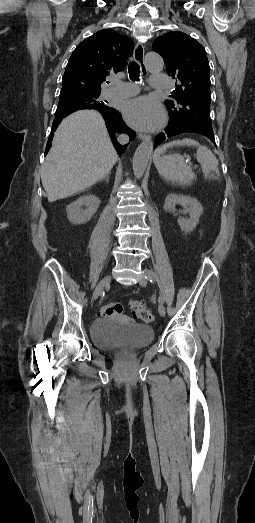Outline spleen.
I'll return each mask as SVG.
<instances>
[{"mask_svg": "<svg viewBox=\"0 0 255 523\" xmlns=\"http://www.w3.org/2000/svg\"><path fill=\"white\" fill-rule=\"evenodd\" d=\"M173 146H196V154H194L197 162H199L202 172L205 178H215L218 180V160L211 150H208L206 146H201L199 142L191 140V138H184V140H175V142H169L160 146L154 152L153 162L162 178L169 180V182H175L180 186H190L195 178L194 172L187 166L183 156L180 154H171V156H164L168 148ZM211 172H215L217 176H213Z\"/></svg>", "mask_w": 255, "mask_h": 523, "instance_id": "obj_1", "label": "spleen"}]
</instances>
